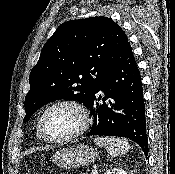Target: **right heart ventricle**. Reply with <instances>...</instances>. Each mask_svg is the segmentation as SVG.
Here are the masks:
<instances>
[{
	"mask_svg": "<svg viewBox=\"0 0 175 174\" xmlns=\"http://www.w3.org/2000/svg\"><path fill=\"white\" fill-rule=\"evenodd\" d=\"M37 136L39 137V139L43 140V137L41 136L39 129H38V125H37Z\"/></svg>",
	"mask_w": 175,
	"mask_h": 174,
	"instance_id": "right-heart-ventricle-1",
	"label": "right heart ventricle"
}]
</instances>
